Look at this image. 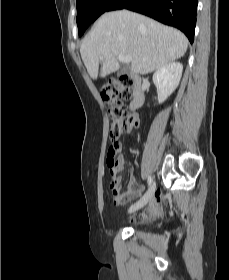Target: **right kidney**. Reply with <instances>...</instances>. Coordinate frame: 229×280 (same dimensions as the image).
<instances>
[{
  "label": "right kidney",
  "instance_id": "1",
  "mask_svg": "<svg viewBox=\"0 0 229 280\" xmlns=\"http://www.w3.org/2000/svg\"><path fill=\"white\" fill-rule=\"evenodd\" d=\"M182 71L181 63L171 62L154 73L153 82L157 88L159 103H163L178 87Z\"/></svg>",
  "mask_w": 229,
  "mask_h": 280
}]
</instances>
